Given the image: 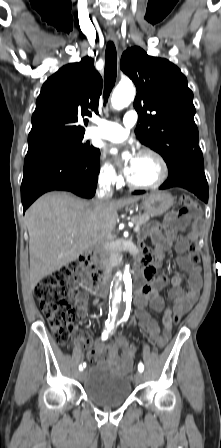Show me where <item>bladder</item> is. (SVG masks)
Instances as JSON below:
<instances>
[{
	"label": "bladder",
	"mask_w": 221,
	"mask_h": 448,
	"mask_svg": "<svg viewBox=\"0 0 221 448\" xmlns=\"http://www.w3.org/2000/svg\"><path fill=\"white\" fill-rule=\"evenodd\" d=\"M82 381L88 399L103 407L120 406L132 393L130 379L105 364L95 365L86 371Z\"/></svg>",
	"instance_id": "1"
}]
</instances>
